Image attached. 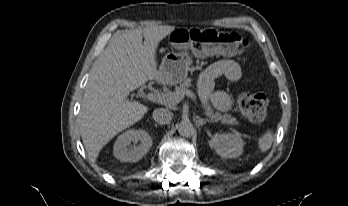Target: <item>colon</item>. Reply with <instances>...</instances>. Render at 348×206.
I'll list each match as a JSON object with an SVG mask.
<instances>
[{
  "mask_svg": "<svg viewBox=\"0 0 348 206\" xmlns=\"http://www.w3.org/2000/svg\"><path fill=\"white\" fill-rule=\"evenodd\" d=\"M172 42L178 45L204 42L223 55H241L249 47V41L236 32L199 28L177 30L172 35ZM238 105L245 117L260 122L267 115L269 100L265 94L246 92L239 96Z\"/></svg>",
  "mask_w": 348,
  "mask_h": 206,
  "instance_id": "obj_1",
  "label": "colon"
}]
</instances>
